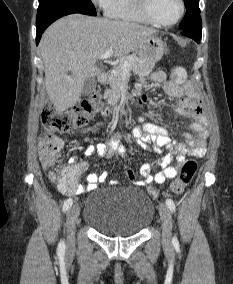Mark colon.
<instances>
[{"label":"colon","mask_w":233,"mask_h":284,"mask_svg":"<svg viewBox=\"0 0 233 284\" xmlns=\"http://www.w3.org/2000/svg\"><path fill=\"white\" fill-rule=\"evenodd\" d=\"M171 77L176 83H183L186 78L185 70L176 66L171 70ZM100 96L94 95L83 99L78 105L66 112H57L52 103H47L42 112L43 133L39 142V157L42 163L53 167L62 147L60 134L67 133L75 128L88 124L93 113L102 106ZM198 170V163L189 159L182 165L181 171L171 183V191L181 194L191 183ZM79 177L75 174H66L60 177L58 187L65 194H73L77 187ZM151 198H158L155 187H148Z\"/></svg>","instance_id":"obj_1"}]
</instances>
